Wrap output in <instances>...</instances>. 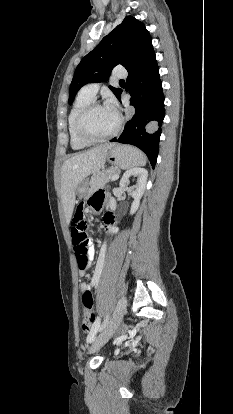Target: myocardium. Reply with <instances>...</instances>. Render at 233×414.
<instances>
[{"label": "myocardium", "mask_w": 233, "mask_h": 414, "mask_svg": "<svg viewBox=\"0 0 233 414\" xmlns=\"http://www.w3.org/2000/svg\"><path fill=\"white\" fill-rule=\"evenodd\" d=\"M99 107H104L103 104H101L100 102L97 101H91L89 104H87L78 114L76 122H75V132L77 134V136L85 141V142H89V143H98V142H103L106 140H109L111 138H113L114 136H116L118 134V132L120 131L121 127H122V122L123 119L121 117L120 114H117V123L116 126L114 127V129L103 136H94L92 134H90L86 129H85V120L87 118V116L96 108Z\"/></svg>", "instance_id": "f54148a6"}]
</instances>
